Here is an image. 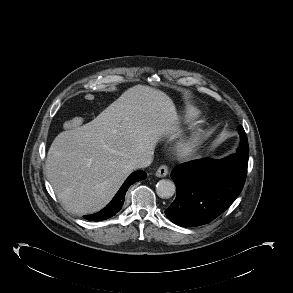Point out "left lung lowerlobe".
Instances as JSON below:
<instances>
[{"mask_svg":"<svg viewBox=\"0 0 293 293\" xmlns=\"http://www.w3.org/2000/svg\"><path fill=\"white\" fill-rule=\"evenodd\" d=\"M240 135L236 154L222 160H193L173 169L177 196L165 210L173 223L183 227L207 224L238 197L245 183L249 154L245 131Z\"/></svg>","mask_w":293,"mask_h":293,"instance_id":"obj_1","label":"left lung lower lobe"}]
</instances>
